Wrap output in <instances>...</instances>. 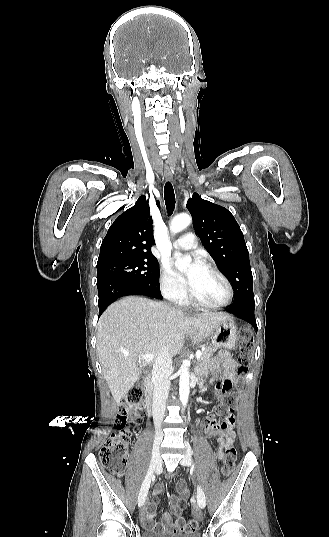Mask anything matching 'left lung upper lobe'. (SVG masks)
Segmentation results:
<instances>
[{
	"mask_svg": "<svg viewBox=\"0 0 329 537\" xmlns=\"http://www.w3.org/2000/svg\"><path fill=\"white\" fill-rule=\"evenodd\" d=\"M186 207L203 246L232 284L233 305H255L249 252L234 216L226 208L203 200L197 193Z\"/></svg>",
	"mask_w": 329,
	"mask_h": 537,
	"instance_id": "obj_1",
	"label": "left lung upper lobe"
}]
</instances>
